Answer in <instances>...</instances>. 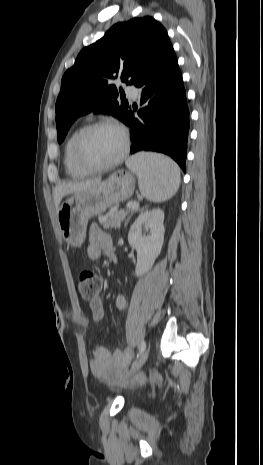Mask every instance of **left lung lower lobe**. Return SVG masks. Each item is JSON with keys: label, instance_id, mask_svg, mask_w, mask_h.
<instances>
[{"label": "left lung lower lobe", "instance_id": "left-lung-lower-lobe-1", "mask_svg": "<svg viewBox=\"0 0 263 465\" xmlns=\"http://www.w3.org/2000/svg\"><path fill=\"white\" fill-rule=\"evenodd\" d=\"M142 89L140 104L146 106L135 118L129 110L124 121L131 129L132 147L137 151H157L172 157L185 170L189 131V109L178 61L167 43L138 77Z\"/></svg>", "mask_w": 263, "mask_h": 465}]
</instances>
